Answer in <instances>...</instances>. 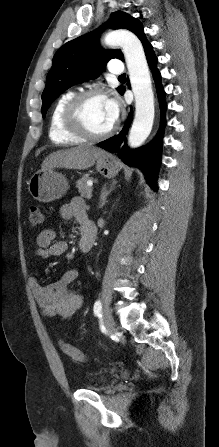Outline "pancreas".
Listing matches in <instances>:
<instances>
[{"label":"pancreas","instance_id":"cf45deb5","mask_svg":"<svg viewBox=\"0 0 219 447\" xmlns=\"http://www.w3.org/2000/svg\"><path fill=\"white\" fill-rule=\"evenodd\" d=\"M92 180L88 176H84L76 182V187L82 197H86L92 192V188L87 185V181Z\"/></svg>","mask_w":219,"mask_h":447}]
</instances>
